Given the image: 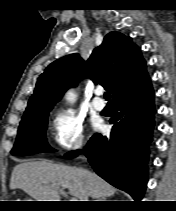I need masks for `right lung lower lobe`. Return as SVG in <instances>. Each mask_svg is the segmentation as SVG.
Segmentation results:
<instances>
[{
    "instance_id": "obj_1",
    "label": "right lung lower lobe",
    "mask_w": 176,
    "mask_h": 211,
    "mask_svg": "<svg viewBox=\"0 0 176 211\" xmlns=\"http://www.w3.org/2000/svg\"><path fill=\"white\" fill-rule=\"evenodd\" d=\"M110 123V137L94 134L84 154L99 176L140 201L148 180V144L154 126L150 81L132 96L113 102ZM80 152L71 151L65 156L73 158Z\"/></svg>"
}]
</instances>
